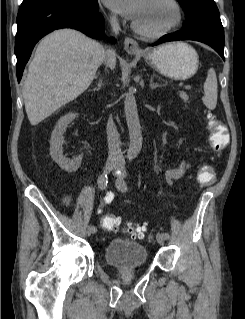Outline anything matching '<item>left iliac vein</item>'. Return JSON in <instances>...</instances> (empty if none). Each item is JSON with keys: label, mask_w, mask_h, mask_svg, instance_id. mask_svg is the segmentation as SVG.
<instances>
[{"label": "left iliac vein", "mask_w": 245, "mask_h": 319, "mask_svg": "<svg viewBox=\"0 0 245 319\" xmlns=\"http://www.w3.org/2000/svg\"><path fill=\"white\" fill-rule=\"evenodd\" d=\"M117 170H120V171L123 170V165H118V169ZM123 182H124V176L122 174L118 175L117 178H116V187L119 190H122L121 189V185H122ZM165 240H166V238L163 236V234H161V233L157 234V242L160 245H164Z\"/></svg>", "instance_id": "obj_1"}]
</instances>
